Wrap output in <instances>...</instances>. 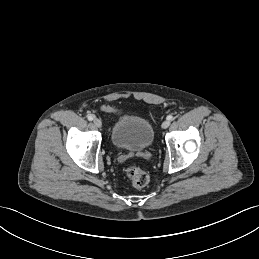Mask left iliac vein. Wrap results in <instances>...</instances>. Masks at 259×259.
Segmentation results:
<instances>
[{
  "label": "left iliac vein",
  "mask_w": 259,
  "mask_h": 259,
  "mask_svg": "<svg viewBox=\"0 0 259 259\" xmlns=\"http://www.w3.org/2000/svg\"><path fill=\"white\" fill-rule=\"evenodd\" d=\"M169 125H170V121H169V120H165V121L162 123V128H163V129H166V128L169 127Z\"/></svg>",
  "instance_id": "obj_1"
}]
</instances>
